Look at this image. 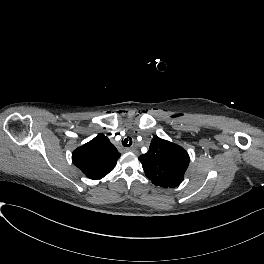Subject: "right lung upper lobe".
I'll use <instances>...</instances> for the list:
<instances>
[{"mask_svg":"<svg viewBox=\"0 0 264 264\" xmlns=\"http://www.w3.org/2000/svg\"><path fill=\"white\" fill-rule=\"evenodd\" d=\"M120 153L109 139L99 134L72 153L73 163L92 180H98L110 173Z\"/></svg>","mask_w":264,"mask_h":264,"instance_id":"1","label":"right lung upper lobe"}]
</instances>
